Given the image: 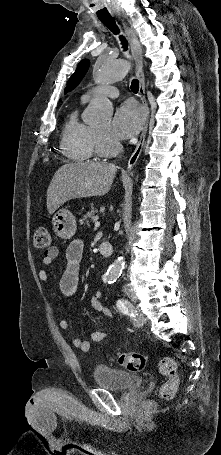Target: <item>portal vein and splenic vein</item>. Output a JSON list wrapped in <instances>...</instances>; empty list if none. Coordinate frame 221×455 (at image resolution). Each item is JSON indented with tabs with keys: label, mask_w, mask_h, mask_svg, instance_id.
<instances>
[{
	"label": "portal vein and splenic vein",
	"mask_w": 221,
	"mask_h": 455,
	"mask_svg": "<svg viewBox=\"0 0 221 455\" xmlns=\"http://www.w3.org/2000/svg\"><path fill=\"white\" fill-rule=\"evenodd\" d=\"M99 226H100V222L96 220V221H95V227L97 228V227H99Z\"/></svg>",
	"instance_id": "1"
}]
</instances>
